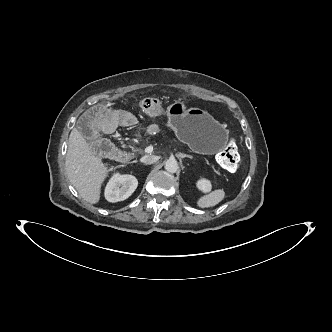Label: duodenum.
<instances>
[{"label": "duodenum", "mask_w": 332, "mask_h": 332, "mask_svg": "<svg viewBox=\"0 0 332 332\" xmlns=\"http://www.w3.org/2000/svg\"><path fill=\"white\" fill-rule=\"evenodd\" d=\"M118 159L121 163L126 164L131 160V155L127 152L120 153Z\"/></svg>", "instance_id": "duodenum-1"}]
</instances>
